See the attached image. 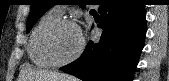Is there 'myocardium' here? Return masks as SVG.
Listing matches in <instances>:
<instances>
[{"instance_id":"f54148a6","label":"myocardium","mask_w":169,"mask_h":81,"mask_svg":"<svg viewBox=\"0 0 169 81\" xmlns=\"http://www.w3.org/2000/svg\"><path fill=\"white\" fill-rule=\"evenodd\" d=\"M64 26H74L77 28V24L71 20V19H60L57 22H55L45 33L43 37V42H42V48H43V53L46 56V58L54 65V66H64L67 65L76 59L80 57L82 54L84 47H85V41L81 35V41H80V46L78 50L69 58L67 59H59L57 56L54 54L52 43L53 39L55 37V34ZM78 29V28H77Z\"/></svg>"}]
</instances>
